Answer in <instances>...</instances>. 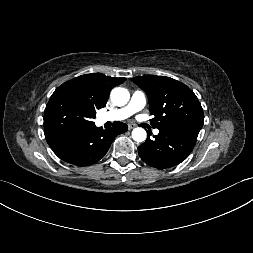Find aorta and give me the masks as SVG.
Segmentation results:
<instances>
[{
    "instance_id": "aorta-1",
    "label": "aorta",
    "mask_w": 253,
    "mask_h": 253,
    "mask_svg": "<svg viewBox=\"0 0 253 253\" xmlns=\"http://www.w3.org/2000/svg\"><path fill=\"white\" fill-rule=\"evenodd\" d=\"M130 94L127 89L116 87L111 91V100L117 106H124L128 103ZM147 133L145 129L137 127L132 131V138L136 142H143L146 140Z\"/></svg>"
}]
</instances>
